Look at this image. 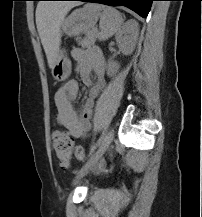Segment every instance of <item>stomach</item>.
<instances>
[{
  "mask_svg": "<svg viewBox=\"0 0 202 217\" xmlns=\"http://www.w3.org/2000/svg\"><path fill=\"white\" fill-rule=\"evenodd\" d=\"M99 13L88 6L74 10L61 24V32L68 36L91 30L97 23ZM71 73V62L65 49H60L52 75L58 81L66 80Z\"/></svg>",
  "mask_w": 202,
  "mask_h": 217,
  "instance_id": "obj_1",
  "label": "stomach"
}]
</instances>
